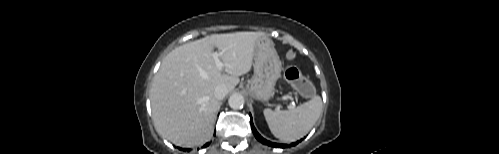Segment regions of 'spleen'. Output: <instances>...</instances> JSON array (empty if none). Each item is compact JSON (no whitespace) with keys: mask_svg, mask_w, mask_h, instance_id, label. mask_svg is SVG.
<instances>
[{"mask_svg":"<svg viewBox=\"0 0 499 154\" xmlns=\"http://www.w3.org/2000/svg\"><path fill=\"white\" fill-rule=\"evenodd\" d=\"M320 96H314L294 109H264V117L272 134L285 142H294L305 136L319 119L322 112Z\"/></svg>","mask_w":499,"mask_h":154,"instance_id":"3e777b00","label":"spleen"}]
</instances>
